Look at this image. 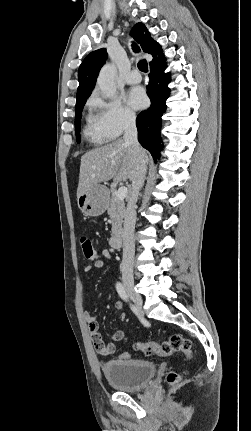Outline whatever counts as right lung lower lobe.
<instances>
[{"mask_svg":"<svg viewBox=\"0 0 251 431\" xmlns=\"http://www.w3.org/2000/svg\"><path fill=\"white\" fill-rule=\"evenodd\" d=\"M166 58L150 64V81L147 86V94L151 100V106L138 114L136 125L138 140L146 148L156 161L159 151L162 149L160 138L161 116L166 111V99L169 96L167 87L170 76L164 73Z\"/></svg>","mask_w":251,"mask_h":431,"instance_id":"right-lung-lower-lobe-1","label":"right lung lower lobe"}]
</instances>
